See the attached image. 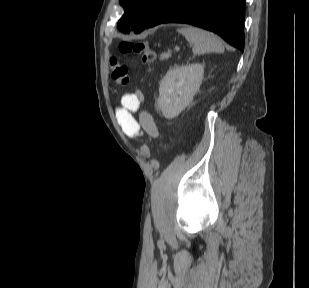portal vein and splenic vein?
I'll list each match as a JSON object with an SVG mask.
<instances>
[{
  "label": "portal vein and splenic vein",
  "mask_w": 309,
  "mask_h": 288,
  "mask_svg": "<svg viewBox=\"0 0 309 288\" xmlns=\"http://www.w3.org/2000/svg\"><path fill=\"white\" fill-rule=\"evenodd\" d=\"M179 50H180V47L176 46V47H175V51L178 52Z\"/></svg>",
  "instance_id": "18ae733b"
}]
</instances>
